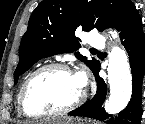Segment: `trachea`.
Listing matches in <instances>:
<instances>
[{"instance_id":"trachea-1","label":"trachea","mask_w":145,"mask_h":124,"mask_svg":"<svg viewBox=\"0 0 145 124\" xmlns=\"http://www.w3.org/2000/svg\"><path fill=\"white\" fill-rule=\"evenodd\" d=\"M91 51H96V49H91Z\"/></svg>"}]
</instances>
